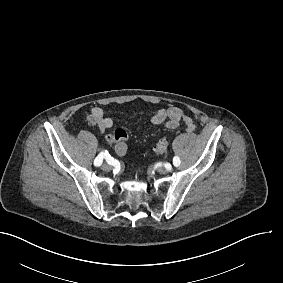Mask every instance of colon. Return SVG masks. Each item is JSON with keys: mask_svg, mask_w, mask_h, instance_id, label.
Wrapping results in <instances>:
<instances>
[{"mask_svg": "<svg viewBox=\"0 0 283 283\" xmlns=\"http://www.w3.org/2000/svg\"><path fill=\"white\" fill-rule=\"evenodd\" d=\"M167 139L164 138V137H160L157 142L155 143V146H154V152L156 154H160L164 151V149L167 147Z\"/></svg>", "mask_w": 283, "mask_h": 283, "instance_id": "obj_1", "label": "colon"}]
</instances>
